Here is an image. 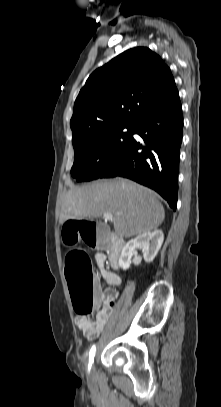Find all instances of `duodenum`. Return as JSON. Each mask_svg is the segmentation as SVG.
<instances>
[{"label":"duodenum","instance_id":"obj_1","mask_svg":"<svg viewBox=\"0 0 221 407\" xmlns=\"http://www.w3.org/2000/svg\"><path fill=\"white\" fill-rule=\"evenodd\" d=\"M110 237L112 245L109 253V261L113 268H117L119 264L120 252L123 248L124 241L121 237L114 233H112Z\"/></svg>","mask_w":221,"mask_h":407}]
</instances>
